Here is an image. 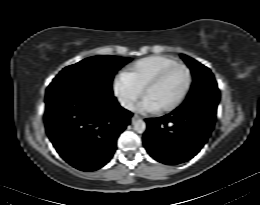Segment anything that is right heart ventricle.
Segmentation results:
<instances>
[{
  "label": "right heart ventricle",
  "mask_w": 260,
  "mask_h": 205,
  "mask_svg": "<svg viewBox=\"0 0 260 205\" xmlns=\"http://www.w3.org/2000/svg\"><path fill=\"white\" fill-rule=\"evenodd\" d=\"M178 62L176 59L163 55L148 56L137 61L129 72L124 74L134 86L140 90L161 69Z\"/></svg>",
  "instance_id": "1"
}]
</instances>
